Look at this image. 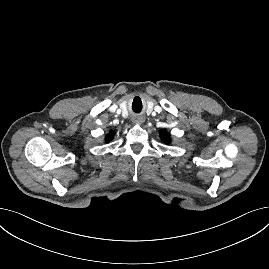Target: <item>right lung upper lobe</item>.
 I'll return each mask as SVG.
<instances>
[{
    "label": "right lung upper lobe",
    "instance_id": "right-lung-upper-lobe-1",
    "mask_svg": "<svg viewBox=\"0 0 269 269\" xmlns=\"http://www.w3.org/2000/svg\"><path fill=\"white\" fill-rule=\"evenodd\" d=\"M113 136H114V132H110V134H107L106 135V141L108 142V141L112 140Z\"/></svg>",
    "mask_w": 269,
    "mask_h": 269
}]
</instances>
